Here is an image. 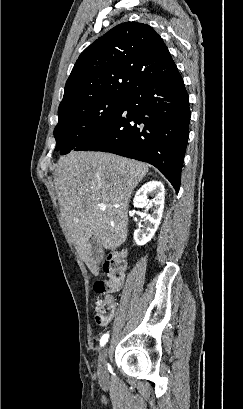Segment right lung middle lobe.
Returning <instances> with one entry per match:
<instances>
[{
    "instance_id": "dd1d6c3e",
    "label": "right lung middle lobe",
    "mask_w": 243,
    "mask_h": 409,
    "mask_svg": "<svg viewBox=\"0 0 243 409\" xmlns=\"http://www.w3.org/2000/svg\"><path fill=\"white\" fill-rule=\"evenodd\" d=\"M125 98L98 97L59 109V121L54 129L55 150H60L62 155L67 154L107 127L123 106Z\"/></svg>"
}]
</instances>
